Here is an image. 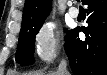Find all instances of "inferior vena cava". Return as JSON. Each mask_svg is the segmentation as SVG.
<instances>
[{
    "label": "inferior vena cava",
    "mask_w": 107,
    "mask_h": 75,
    "mask_svg": "<svg viewBox=\"0 0 107 75\" xmlns=\"http://www.w3.org/2000/svg\"><path fill=\"white\" fill-rule=\"evenodd\" d=\"M58 75H69V72L67 70V61L66 59H62L59 66H58Z\"/></svg>",
    "instance_id": "inferior-vena-cava-1"
}]
</instances>
